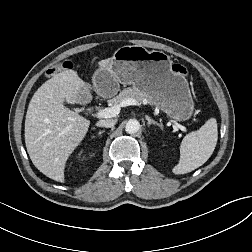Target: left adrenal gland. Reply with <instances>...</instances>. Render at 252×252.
<instances>
[{
	"instance_id": "a2214340",
	"label": "left adrenal gland",
	"mask_w": 252,
	"mask_h": 252,
	"mask_svg": "<svg viewBox=\"0 0 252 252\" xmlns=\"http://www.w3.org/2000/svg\"><path fill=\"white\" fill-rule=\"evenodd\" d=\"M145 118L148 121V123H147L148 126H151L153 124V125L160 127V124L158 122H156L155 120L151 119L149 116L146 115Z\"/></svg>"
}]
</instances>
